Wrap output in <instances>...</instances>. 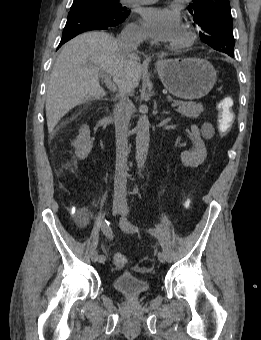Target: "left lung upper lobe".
Returning a JSON list of instances; mask_svg holds the SVG:
<instances>
[{
  "label": "left lung upper lobe",
  "mask_w": 261,
  "mask_h": 340,
  "mask_svg": "<svg viewBox=\"0 0 261 340\" xmlns=\"http://www.w3.org/2000/svg\"><path fill=\"white\" fill-rule=\"evenodd\" d=\"M189 12L200 27V38L210 47L234 53L233 22L229 0H193Z\"/></svg>",
  "instance_id": "5c2ea615"
}]
</instances>
